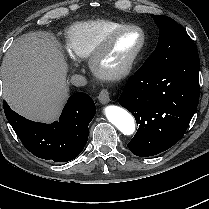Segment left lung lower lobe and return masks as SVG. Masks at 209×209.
I'll list each match as a JSON object with an SVG mask.
<instances>
[{
	"label": "left lung lower lobe",
	"mask_w": 209,
	"mask_h": 209,
	"mask_svg": "<svg viewBox=\"0 0 209 209\" xmlns=\"http://www.w3.org/2000/svg\"><path fill=\"white\" fill-rule=\"evenodd\" d=\"M198 54L160 69L140 67L126 83L119 104L139 126L128 143L133 154L148 157L178 142L199 101Z\"/></svg>",
	"instance_id": "1"
}]
</instances>
